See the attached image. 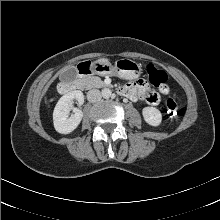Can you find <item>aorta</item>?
I'll list each match as a JSON object with an SVG mask.
<instances>
[{
	"label": "aorta",
	"mask_w": 220,
	"mask_h": 220,
	"mask_svg": "<svg viewBox=\"0 0 220 220\" xmlns=\"http://www.w3.org/2000/svg\"><path fill=\"white\" fill-rule=\"evenodd\" d=\"M103 98L108 99L110 98L112 91L109 88H104L101 92Z\"/></svg>",
	"instance_id": "1"
}]
</instances>
